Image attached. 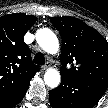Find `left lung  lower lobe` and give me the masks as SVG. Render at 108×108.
Returning <instances> with one entry per match:
<instances>
[{"mask_svg":"<svg viewBox=\"0 0 108 108\" xmlns=\"http://www.w3.org/2000/svg\"><path fill=\"white\" fill-rule=\"evenodd\" d=\"M61 77V85L49 93L53 108H93L108 87V84L101 82Z\"/></svg>","mask_w":108,"mask_h":108,"instance_id":"0a47b994","label":"left lung lower lobe"}]
</instances>
